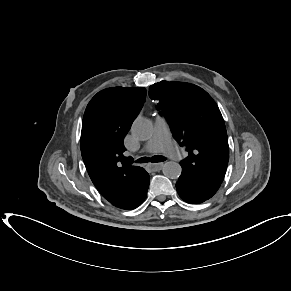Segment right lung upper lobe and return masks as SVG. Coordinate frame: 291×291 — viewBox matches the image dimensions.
Here are the masks:
<instances>
[{
	"label": "right lung upper lobe",
	"instance_id": "1",
	"mask_svg": "<svg viewBox=\"0 0 291 291\" xmlns=\"http://www.w3.org/2000/svg\"><path fill=\"white\" fill-rule=\"evenodd\" d=\"M146 98L140 87H112L88 103L82 122L81 154L89 176L112 205L128 203L139 195L145 169L124 157L123 139Z\"/></svg>",
	"mask_w": 291,
	"mask_h": 291
}]
</instances>
